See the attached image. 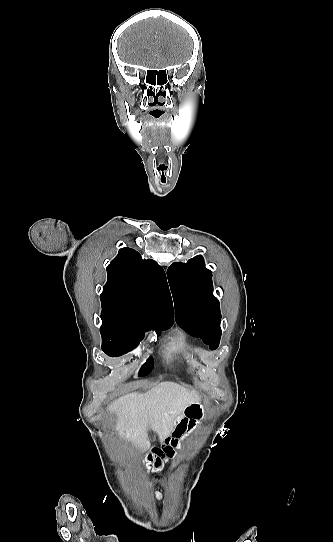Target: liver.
<instances>
[{"label":"liver","mask_w":333,"mask_h":542,"mask_svg":"<svg viewBox=\"0 0 333 542\" xmlns=\"http://www.w3.org/2000/svg\"><path fill=\"white\" fill-rule=\"evenodd\" d=\"M198 398L195 390H187L174 382H161L147 394L132 392L121 396L108 410L118 416L116 430L121 438L147 452L149 428L164 442L174 432L186 408L196 404Z\"/></svg>","instance_id":"liver-1"}]
</instances>
